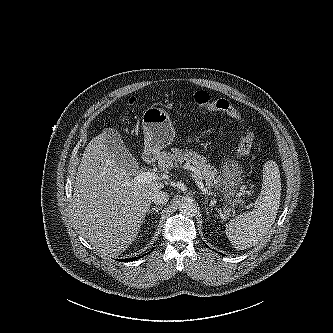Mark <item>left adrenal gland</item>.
<instances>
[{"label": "left adrenal gland", "instance_id": "left-adrenal-gland-1", "mask_svg": "<svg viewBox=\"0 0 333 333\" xmlns=\"http://www.w3.org/2000/svg\"><path fill=\"white\" fill-rule=\"evenodd\" d=\"M205 210H206V213H207L208 218H209V212H208V209L206 208V206H205Z\"/></svg>", "mask_w": 333, "mask_h": 333}]
</instances>
